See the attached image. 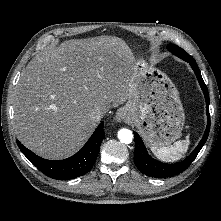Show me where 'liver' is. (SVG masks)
Wrapping results in <instances>:
<instances>
[{
	"label": "liver",
	"mask_w": 221,
	"mask_h": 221,
	"mask_svg": "<svg viewBox=\"0 0 221 221\" xmlns=\"http://www.w3.org/2000/svg\"><path fill=\"white\" fill-rule=\"evenodd\" d=\"M134 55L119 37L72 39L39 52L20 75L14 129L37 155L75 154L94 132V110L123 104L131 92Z\"/></svg>",
	"instance_id": "1"
}]
</instances>
